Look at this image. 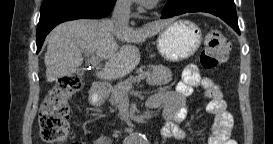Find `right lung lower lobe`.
I'll list each match as a JSON object with an SVG mask.
<instances>
[{
    "label": "right lung lower lobe",
    "mask_w": 273,
    "mask_h": 144,
    "mask_svg": "<svg viewBox=\"0 0 273 144\" xmlns=\"http://www.w3.org/2000/svg\"><path fill=\"white\" fill-rule=\"evenodd\" d=\"M116 0H44L37 26V53L58 24L75 19H99L112 11Z\"/></svg>",
    "instance_id": "1"
}]
</instances>
